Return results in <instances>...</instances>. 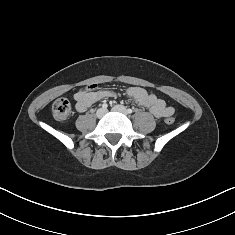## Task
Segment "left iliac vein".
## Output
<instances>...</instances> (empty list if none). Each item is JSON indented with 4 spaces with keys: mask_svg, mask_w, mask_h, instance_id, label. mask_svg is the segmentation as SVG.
<instances>
[{
    "mask_svg": "<svg viewBox=\"0 0 235 235\" xmlns=\"http://www.w3.org/2000/svg\"><path fill=\"white\" fill-rule=\"evenodd\" d=\"M112 110L115 111V112L122 113V114H127V110L123 105H115L112 108Z\"/></svg>",
    "mask_w": 235,
    "mask_h": 235,
    "instance_id": "4c4485c4",
    "label": "left iliac vein"
}]
</instances>
